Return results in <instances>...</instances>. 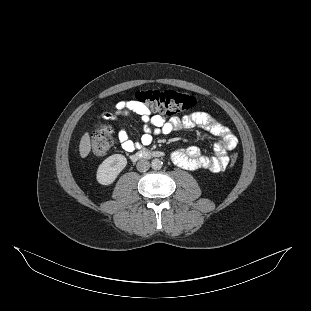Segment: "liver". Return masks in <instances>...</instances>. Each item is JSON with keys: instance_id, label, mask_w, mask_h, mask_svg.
Instances as JSON below:
<instances>
[{"instance_id": "6515ba94", "label": "liver", "mask_w": 311, "mask_h": 311, "mask_svg": "<svg viewBox=\"0 0 311 311\" xmlns=\"http://www.w3.org/2000/svg\"><path fill=\"white\" fill-rule=\"evenodd\" d=\"M91 151V143H90V136L88 134V132H86L82 138H81V141H80V144H79V152H80V156L82 158H85L88 156V154L90 153Z\"/></svg>"}]
</instances>
